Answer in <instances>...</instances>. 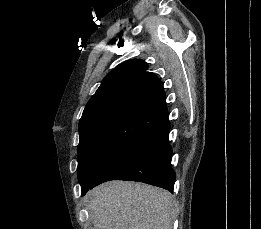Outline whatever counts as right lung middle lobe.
Instances as JSON below:
<instances>
[{
    "label": "right lung middle lobe",
    "instance_id": "dd1d6c3e",
    "mask_svg": "<svg viewBox=\"0 0 261 229\" xmlns=\"http://www.w3.org/2000/svg\"><path fill=\"white\" fill-rule=\"evenodd\" d=\"M153 132V130L136 131L134 136L135 146ZM132 148L133 147L117 148L104 145H79L77 172L82 194L109 165Z\"/></svg>",
    "mask_w": 261,
    "mask_h": 229
}]
</instances>
